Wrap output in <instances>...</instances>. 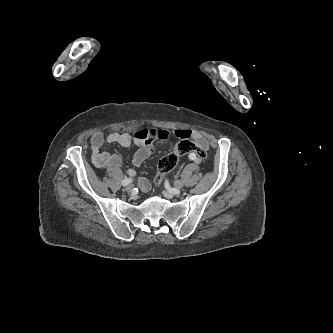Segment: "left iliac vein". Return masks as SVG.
<instances>
[{"label": "left iliac vein", "mask_w": 333, "mask_h": 333, "mask_svg": "<svg viewBox=\"0 0 333 333\" xmlns=\"http://www.w3.org/2000/svg\"><path fill=\"white\" fill-rule=\"evenodd\" d=\"M183 186H184V183H183V181H181V180H176V181L174 182V187H175L176 189H181V188H183Z\"/></svg>", "instance_id": "1"}]
</instances>
